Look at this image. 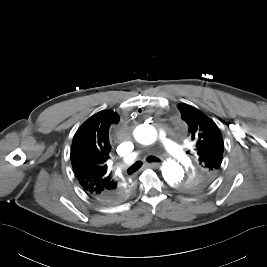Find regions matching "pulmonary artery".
<instances>
[{"label": "pulmonary artery", "instance_id": "obj_1", "mask_svg": "<svg viewBox=\"0 0 267 267\" xmlns=\"http://www.w3.org/2000/svg\"><path fill=\"white\" fill-rule=\"evenodd\" d=\"M158 141L162 148L171 156L177 158V159H182L184 158V153L177 144H175L173 141L169 140L166 135L163 132H160L158 134ZM138 154L136 152H133L129 155L126 156L125 158V165L132 163L136 158Z\"/></svg>", "mask_w": 267, "mask_h": 267}]
</instances>
